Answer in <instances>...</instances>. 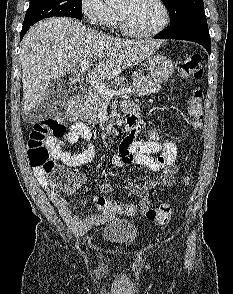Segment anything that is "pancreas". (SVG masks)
Instances as JSON below:
<instances>
[{"mask_svg": "<svg viewBox=\"0 0 233 294\" xmlns=\"http://www.w3.org/2000/svg\"><path fill=\"white\" fill-rule=\"evenodd\" d=\"M132 93L136 97H143L152 93H158L161 90L160 84L155 83L149 77L142 74H134ZM107 98L96 89H90L84 96V101L79 108L80 117L88 124L95 126L97 124V112Z\"/></svg>", "mask_w": 233, "mask_h": 294, "instance_id": "obj_1", "label": "pancreas"}]
</instances>
